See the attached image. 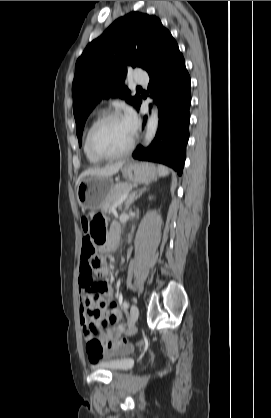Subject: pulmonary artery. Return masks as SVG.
Segmentation results:
<instances>
[{
	"mask_svg": "<svg viewBox=\"0 0 271 418\" xmlns=\"http://www.w3.org/2000/svg\"><path fill=\"white\" fill-rule=\"evenodd\" d=\"M148 80L149 78L145 73H137L134 76V81L138 84H147Z\"/></svg>",
	"mask_w": 271,
	"mask_h": 418,
	"instance_id": "pulmonary-artery-1",
	"label": "pulmonary artery"
}]
</instances>
